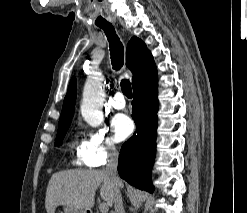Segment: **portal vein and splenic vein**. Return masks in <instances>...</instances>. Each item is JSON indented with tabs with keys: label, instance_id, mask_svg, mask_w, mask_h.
Returning a JSON list of instances; mask_svg holds the SVG:
<instances>
[{
	"label": "portal vein and splenic vein",
	"instance_id": "portal-vein-and-splenic-vein-1",
	"mask_svg": "<svg viewBox=\"0 0 247 213\" xmlns=\"http://www.w3.org/2000/svg\"><path fill=\"white\" fill-rule=\"evenodd\" d=\"M99 209H100L101 213H107L109 210L108 204L107 203H101L99 205Z\"/></svg>",
	"mask_w": 247,
	"mask_h": 213
}]
</instances>
